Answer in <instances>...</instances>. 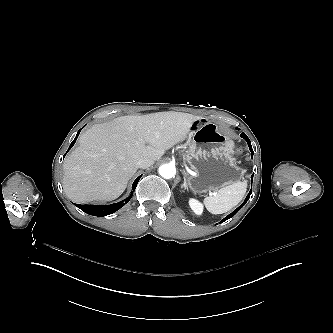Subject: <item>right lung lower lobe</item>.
Returning <instances> with one entry per match:
<instances>
[{
	"instance_id": "98d812e1",
	"label": "right lung lower lobe",
	"mask_w": 333,
	"mask_h": 333,
	"mask_svg": "<svg viewBox=\"0 0 333 333\" xmlns=\"http://www.w3.org/2000/svg\"><path fill=\"white\" fill-rule=\"evenodd\" d=\"M81 129L78 131L75 139L72 141L69 149L74 145L79 133H80ZM68 149V151H69ZM67 151V152H68ZM142 176V175H141ZM139 176L133 183L132 185V189L135 190L137 183L140 179ZM132 196L126 198L124 201H120L118 203H114V204H110V205H80V204H75L78 208H80L82 211H84L85 213L89 214V215H93V216H106L109 214L114 213L115 211L119 210L121 207H123L127 202L130 201Z\"/></svg>"
}]
</instances>
